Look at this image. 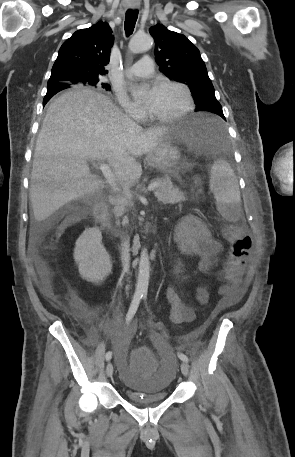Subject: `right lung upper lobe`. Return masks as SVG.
<instances>
[{
  "label": "right lung upper lobe",
  "mask_w": 295,
  "mask_h": 457,
  "mask_svg": "<svg viewBox=\"0 0 295 457\" xmlns=\"http://www.w3.org/2000/svg\"><path fill=\"white\" fill-rule=\"evenodd\" d=\"M113 43L114 36L106 22L76 31L59 49L48 86L87 84L91 78L107 74L105 66Z\"/></svg>",
  "instance_id": "1"
}]
</instances>
